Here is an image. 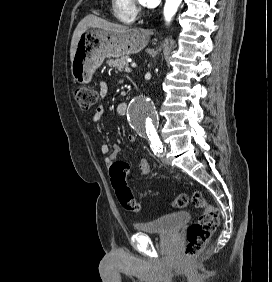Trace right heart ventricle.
Instances as JSON below:
<instances>
[{
  "label": "right heart ventricle",
  "instance_id": "e07e8e85",
  "mask_svg": "<svg viewBox=\"0 0 272 282\" xmlns=\"http://www.w3.org/2000/svg\"><path fill=\"white\" fill-rule=\"evenodd\" d=\"M115 16L124 23H132L136 13L130 8V0H111Z\"/></svg>",
  "mask_w": 272,
  "mask_h": 282
}]
</instances>
